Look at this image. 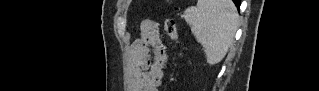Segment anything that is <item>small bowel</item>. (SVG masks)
I'll return each mask as SVG.
<instances>
[{"instance_id":"c3829d8e","label":"small bowel","mask_w":319,"mask_h":91,"mask_svg":"<svg viewBox=\"0 0 319 91\" xmlns=\"http://www.w3.org/2000/svg\"><path fill=\"white\" fill-rule=\"evenodd\" d=\"M134 69L130 81L134 91H157L168 64L166 42L157 24L145 20L141 37L131 46Z\"/></svg>"}]
</instances>
